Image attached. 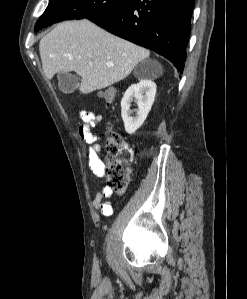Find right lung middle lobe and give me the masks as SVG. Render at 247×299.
Here are the masks:
<instances>
[{"label": "right lung middle lobe", "mask_w": 247, "mask_h": 299, "mask_svg": "<svg viewBox=\"0 0 247 299\" xmlns=\"http://www.w3.org/2000/svg\"><path fill=\"white\" fill-rule=\"evenodd\" d=\"M127 0H50L35 25V32L43 27L68 19L92 18L107 13Z\"/></svg>", "instance_id": "1"}]
</instances>
